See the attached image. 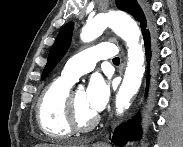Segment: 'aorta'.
Returning a JSON list of instances; mask_svg holds the SVG:
<instances>
[{
    "label": "aorta",
    "mask_w": 183,
    "mask_h": 147,
    "mask_svg": "<svg viewBox=\"0 0 183 147\" xmlns=\"http://www.w3.org/2000/svg\"><path fill=\"white\" fill-rule=\"evenodd\" d=\"M108 27L119 35L128 47L127 67L115 101L116 112L122 114L140 88L144 73V52L140 44L138 25L130 16L118 11L100 13L87 21L80 38L83 42H90Z\"/></svg>",
    "instance_id": "1"
}]
</instances>
